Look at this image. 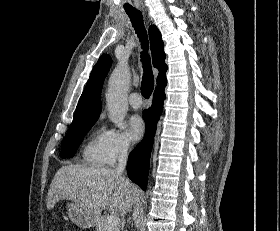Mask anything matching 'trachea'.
I'll return each mask as SVG.
<instances>
[{
    "instance_id": "1",
    "label": "trachea",
    "mask_w": 280,
    "mask_h": 231,
    "mask_svg": "<svg viewBox=\"0 0 280 231\" xmlns=\"http://www.w3.org/2000/svg\"><path fill=\"white\" fill-rule=\"evenodd\" d=\"M126 13L129 15L130 20L135 28L141 42L143 49L147 50L149 48L147 33L143 24V17L139 10H126ZM142 62L145 65L146 69L141 83V94L144 98H149L154 89V76L150 66V58L146 52L142 53Z\"/></svg>"
}]
</instances>
